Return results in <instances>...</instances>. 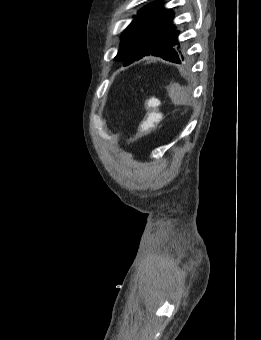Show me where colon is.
Listing matches in <instances>:
<instances>
[{
    "mask_svg": "<svg viewBox=\"0 0 261 340\" xmlns=\"http://www.w3.org/2000/svg\"><path fill=\"white\" fill-rule=\"evenodd\" d=\"M143 106L145 116L139 124L137 137H143L150 134L162 119L160 112V100L156 97H150L144 100Z\"/></svg>",
    "mask_w": 261,
    "mask_h": 340,
    "instance_id": "obj_1",
    "label": "colon"
}]
</instances>
